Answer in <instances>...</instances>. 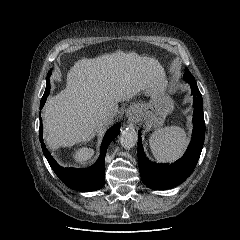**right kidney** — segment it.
Instances as JSON below:
<instances>
[{"label":"right kidney","instance_id":"1","mask_svg":"<svg viewBox=\"0 0 240 240\" xmlns=\"http://www.w3.org/2000/svg\"><path fill=\"white\" fill-rule=\"evenodd\" d=\"M94 154V151L90 148H81L76 151L74 158L77 162H86L89 160Z\"/></svg>","mask_w":240,"mask_h":240}]
</instances>
